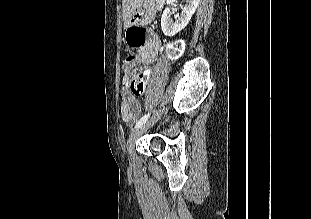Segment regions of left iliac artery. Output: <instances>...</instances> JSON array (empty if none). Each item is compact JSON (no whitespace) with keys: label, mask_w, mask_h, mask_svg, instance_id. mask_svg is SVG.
<instances>
[{"label":"left iliac artery","mask_w":311,"mask_h":219,"mask_svg":"<svg viewBox=\"0 0 311 219\" xmlns=\"http://www.w3.org/2000/svg\"><path fill=\"white\" fill-rule=\"evenodd\" d=\"M149 116H150V114L148 113V114L144 115L143 117H141L140 120L136 123L135 128H138L141 125H143L147 121Z\"/></svg>","instance_id":"1"}]
</instances>
